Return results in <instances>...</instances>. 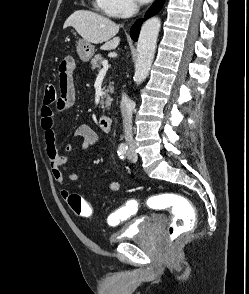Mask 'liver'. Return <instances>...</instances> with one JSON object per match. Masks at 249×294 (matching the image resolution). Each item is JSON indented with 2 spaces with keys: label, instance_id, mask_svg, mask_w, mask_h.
Returning a JSON list of instances; mask_svg holds the SVG:
<instances>
[{
  "label": "liver",
  "instance_id": "1",
  "mask_svg": "<svg viewBox=\"0 0 249 294\" xmlns=\"http://www.w3.org/2000/svg\"><path fill=\"white\" fill-rule=\"evenodd\" d=\"M72 26L87 42L94 44L104 43L103 50L115 49L120 38L115 37L119 26L110 19L88 10L75 11L64 23V28Z\"/></svg>",
  "mask_w": 249,
  "mask_h": 294
}]
</instances>
